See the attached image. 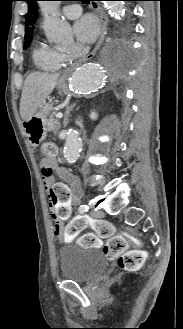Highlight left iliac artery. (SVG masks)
Listing matches in <instances>:
<instances>
[{
    "label": "left iliac artery",
    "instance_id": "left-iliac-artery-1",
    "mask_svg": "<svg viewBox=\"0 0 183 329\" xmlns=\"http://www.w3.org/2000/svg\"><path fill=\"white\" fill-rule=\"evenodd\" d=\"M88 210H89V206L88 205H81L80 207H79V209H78V211H79V213H85V212H88Z\"/></svg>",
    "mask_w": 183,
    "mask_h": 329
}]
</instances>
